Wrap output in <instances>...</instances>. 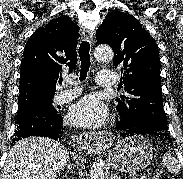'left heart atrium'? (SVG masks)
I'll list each match as a JSON object with an SVG mask.
<instances>
[{
  "mask_svg": "<svg viewBox=\"0 0 183 179\" xmlns=\"http://www.w3.org/2000/svg\"><path fill=\"white\" fill-rule=\"evenodd\" d=\"M68 117L75 125L96 128L106 121L107 109L95 96L87 95L71 107Z\"/></svg>",
  "mask_w": 183,
  "mask_h": 179,
  "instance_id": "1",
  "label": "left heart atrium"
}]
</instances>
